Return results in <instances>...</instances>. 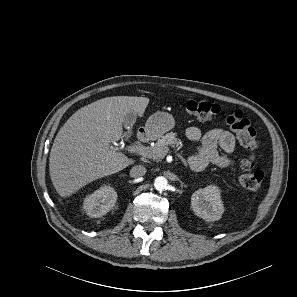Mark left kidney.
<instances>
[{
  "instance_id": "obj_1",
  "label": "left kidney",
  "mask_w": 297,
  "mask_h": 297,
  "mask_svg": "<svg viewBox=\"0 0 297 297\" xmlns=\"http://www.w3.org/2000/svg\"><path fill=\"white\" fill-rule=\"evenodd\" d=\"M191 207L195 214L209 222L219 220L224 212L220 189L209 185L192 194Z\"/></svg>"
}]
</instances>
